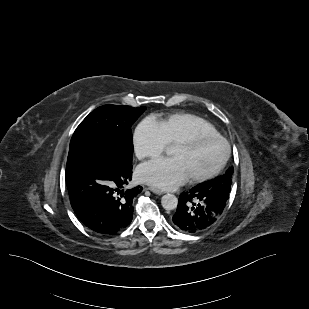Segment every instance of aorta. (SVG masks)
<instances>
[{
    "label": "aorta",
    "mask_w": 309,
    "mask_h": 309,
    "mask_svg": "<svg viewBox=\"0 0 309 309\" xmlns=\"http://www.w3.org/2000/svg\"><path fill=\"white\" fill-rule=\"evenodd\" d=\"M178 204V199L173 194H166L161 199V205L165 210H174Z\"/></svg>",
    "instance_id": "762f6f07"
}]
</instances>
